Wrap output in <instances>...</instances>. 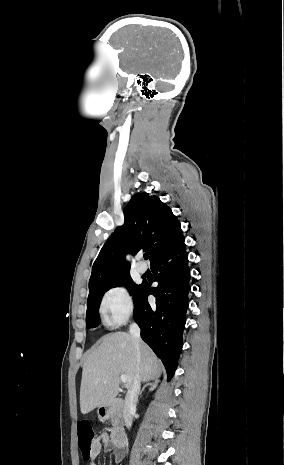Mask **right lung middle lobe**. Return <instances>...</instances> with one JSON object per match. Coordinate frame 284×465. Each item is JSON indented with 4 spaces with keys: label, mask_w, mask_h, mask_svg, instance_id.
Masks as SVG:
<instances>
[{
    "label": "right lung middle lobe",
    "mask_w": 284,
    "mask_h": 465,
    "mask_svg": "<svg viewBox=\"0 0 284 465\" xmlns=\"http://www.w3.org/2000/svg\"><path fill=\"white\" fill-rule=\"evenodd\" d=\"M122 285H124L131 292L132 295H134L140 288V285L134 284L131 277L127 276L124 278H120L89 294L88 300H87V312H86L87 328L96 327L100 323V317H99L98 310H99L100 301H101L103 294L110 288L120 287Z\"/></svg>",
    "instance_id": "right-lung-middle-lobe-1"
}]
</instances>
